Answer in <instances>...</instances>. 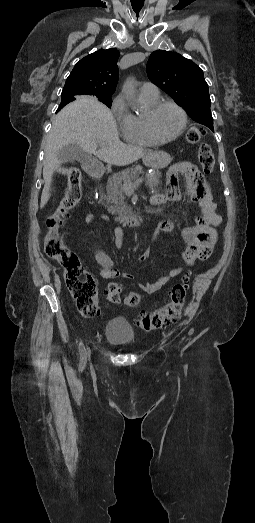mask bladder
Instances as JSON below:
<instances>
[{"label": "bladder", "mask_w": 255, "mask_h": 523, "mask_svg": "<svg viewBox=\"0 0 255 523\" xmlns=\"http://www.w3.org/2000/svg\"><path fill=\"white\" fill-rule=\"evenodd\" d=\"M106 328V339L117 345H125L135 336L133 327L125 319L110 318Z\"/></svg>", "instance_id": "obj_1"}]
</instances>
